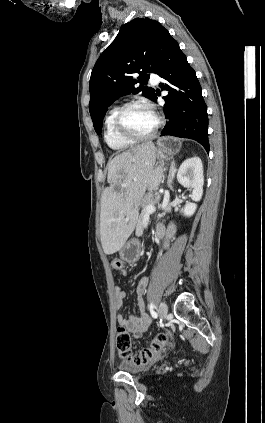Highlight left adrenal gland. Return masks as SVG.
<instances>
[{
  "mask_svg": "<svg viewBox=\"0 0 265 423\" xmlns=\"http://www.w3.org/2000/svg\"><path fill=\"white\" fill-rule=\"evenodd\" d=\"M175 172H176L175 161H173L170 166L169 180L172 181V179L174 178Z\"/></svg>",
  "mask_w": 265,
  "mask_h": 423,
  "instance_id": "obj_1",
  "label": "left adrenal gland"
}]
</instances>
